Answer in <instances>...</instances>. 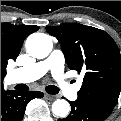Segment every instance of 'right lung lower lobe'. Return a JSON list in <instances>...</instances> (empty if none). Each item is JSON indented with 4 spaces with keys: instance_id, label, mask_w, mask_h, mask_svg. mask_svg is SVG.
<instances>
[{
    "instance_id": "98d812e1",
    "label": "right lung lower lobe",
    "mask_w": 121,
    "mask_h": 121,
    "mask_svg": "<svg viewBox=\"0 0 121 121\" xmlns=\"http://www.w3.org/2000/svg\"><path fill=\"white\" fill-rule=\"evenodd\" d=\"M42 97L43 93L39 91L1 90V121H22L28 102Z\"/></svg>"
}]
</instances>
